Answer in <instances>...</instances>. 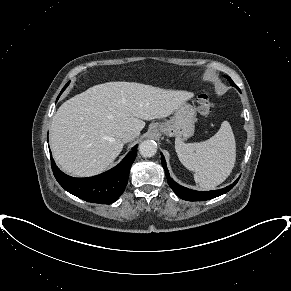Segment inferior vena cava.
<instances>
[{
  "label": "inferior vena cava",
  "mask_w": 291,
  "mask_h": 291,
  "mask_svg": "<svg viewBox=\"0 0 291 291\" xmlns=\"http://www.w3.org/2000/svg\"><path fill=\"white\" fill-rule=\"evenodd\" d=\"M139 135L138 132L136 131H131V130H128L126 132H124L121 136V139L124 143H127L131 140H133L135 137H137Z\"/></svg>",
  "instance_id": "inferior-vena-cava-1"
}]
</instances>
